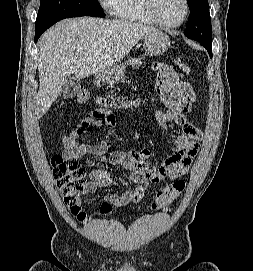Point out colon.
<instances>
[{
  "label": "colon",
  "mask_w": 253,
  "mask_h": 271,
  "mask_svg": "<svg viewBox=\"0 0 253 271\" xmlns=\"http://www.w3.org/2000/svg\"><path fill=\"white\" fill-rule=\"evenodd\" d=\"M178 67L184 71H189L187 63L181 59L176 61ZM89 99L88 90L81 86L76 95L75 100L78 103H86ZM99 104L102 109L92 112V116L103 118L109 110L126 108L130 105V101L125 97L120 96H105L99 99ZM54 178L57 187L63 196L66 206L80 220L85 219V214L81 211V200L84 195L89 192V183L85 177V170L82 168L80 161L76 158L65 159L61 155H54L51 159ZM185 189L183 180H176L164 188L160 189L152 204L154 210H162L167 207L172 201L178 198ZM108 206V205H104ZM126 203L121 202L117 207L123 208Z\"/></svg>",
  "instance_id": "5ec220e1"
}]
</instances>
